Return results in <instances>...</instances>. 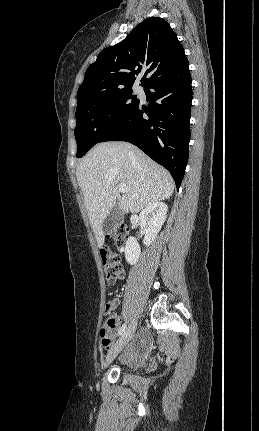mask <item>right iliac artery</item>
<instances>
[{"label":"right iliac artery","instance_id":"right-iliac-artery-1","mask_svg":"<svg viewBox=\"0 0 259 431\" xmlns=\"http://www.w3.org/2000/svg\"><path fill=\"white\" fill-rule=\"evenodd\" d=\"M125 329H126V323H124V324L122 325V327L120 328V330H119V332H118V335H122V333L125 331Z\"/></svg>","mask_w":259,"mask_h":431}]
</instances>
